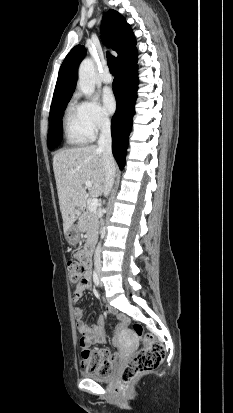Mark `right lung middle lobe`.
<instances>
[{"mask_svg":"<svg viewBox=\"0 0 233 413\" xmlns=\"http://www.w3.org/2000/svg\"><path fill=\"white\" fill-rule=\"evenodd\" d=\"M70 98L51 104L49 114L48 148L53 150L62 140V117Z\"/></svg>","mask_w":233,"mask_h":413,"instance_id":"obj_1","label":"right lung middle lobe"}]
</instances>
